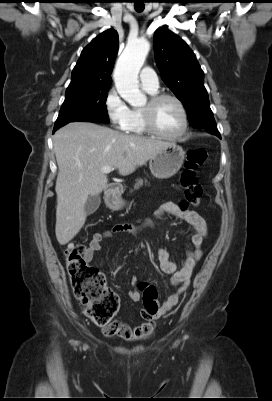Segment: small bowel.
Wrapping results in <instances>:
<instances>
[{"label": "small bowel", "instance_id": "obj_1", "mask_svg": "<svg viewBox=\"0 0 272 401\" xmlns=\"http://www.w3.org/2000/svg\"><path fill=\"white\" fill-rule=\"evenodd\" d=\"M166 214L185 221L191 229L190 241L193 249L187 251L186 257L180 265L170 260L169 253L165 248H159L157 252L160 269L164 273L172 275L171 282L177 286V290L161 304L158 303L156 313L149 315L143 312L144 322L140 325L132 327L121 321H114L111 324V336H117L129 341L148 337L153 332L154 321L165 316L179 302L189 287L192 271L202 257L201 246L207 236V224L205 219L196 211L191 210L185 201L164 203L156 212V216L162 217ZM150 224L147 221L142 227L149 226ZM142 227H134L130 224H118L114 225L110 230L95 232L86 250V261L91 262L93 260L95 253L101 249V242L105 238L117 233H129L135 237ZM131 285L132 289L129 291V298L133 302H138L141 298V289L135 277L131 279Z\"/></svg>", "mask_w": 272, "mask_h": 401}]
</instances>
